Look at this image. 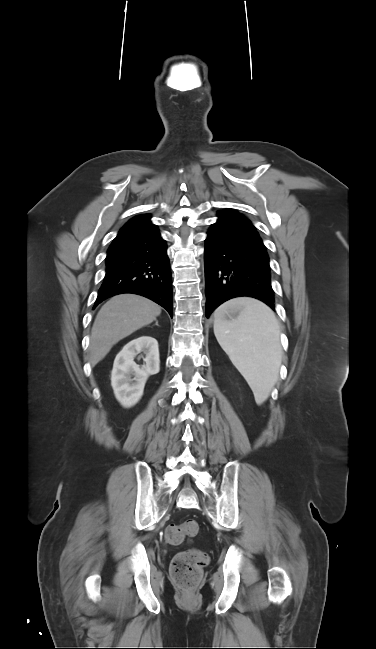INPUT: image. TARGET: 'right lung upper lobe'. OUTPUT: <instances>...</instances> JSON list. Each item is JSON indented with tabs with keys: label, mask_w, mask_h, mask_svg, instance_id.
Here are the masks:
<instances>
[{
	"label": "right lung upper lobe",
	"mask_w": 376,
	"mask_h": 649,
	"mask_svg": "<svg viewBox=\"0 0 376 649\" xmlns=\"http://www.w3.org/2000/svg\"><path fill=\"white\" fill-rule=\"evenodd\" d=\"M150 218V214L139 215L132 218L121 228L114 240H119L158 229L156 225L151 223Z\"/></svg>",
	"instance_id": "obj_1"
}]
</instances>
